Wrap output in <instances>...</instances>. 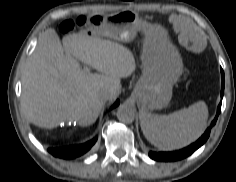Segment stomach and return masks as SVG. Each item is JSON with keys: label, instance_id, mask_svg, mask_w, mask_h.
Listing matches in <instances>:
<instances>
[{"label": "stomach", "instance_id": "stomach-1", "mask_svg": "<svg viewBox=\"0 0 236 182\" xmlns=\"http://www.w3.org/2000/svg\"><path fill=\"white\" fill-rule=\"evenodd\" d=\"M105 26L93 32L118 41H131L138 31L145 34L141 56L143 72L132 92L142 110L161 109L172 97L173 85L183 73V62L164 28L149 24L133 11H122L104 17Z\"/></svg>", "mask_w": 236, "mask_h": 182}]
</instances>
